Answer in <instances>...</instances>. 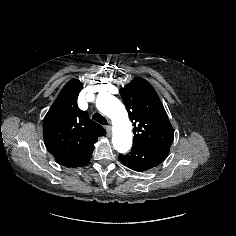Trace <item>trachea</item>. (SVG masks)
<instances>
[{"label":"trachea","mask_w":236,"mask_h":236,"mask_svg":"<svg viewBox=\"0 0 236 236\" xmlns=\"http://www.w3.org/2000/svg\"><path fill=\"white\" fill-rule=\"evenodd\" d=\"M92 119L96 122H98L99 124L101 125H108V122L107 120L99 113H95L93 116H92Z\"/></svg>","instance_id":"obj_1"}]
</instances>
